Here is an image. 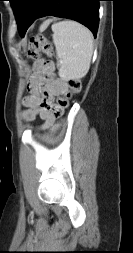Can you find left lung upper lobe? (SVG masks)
<instances>
[{"label": "left lung upper lobe", "instance_id": "obj_1", "mask_svg": "<svg viewBox=\"0 0 133 253\" xmlns=\"http://www.w3.org/2000/svg\"><path fill=\"white\" fill-rule=\"evenodd\" d=\"M11 3V6L13 8L16 20L19 16V13L21 11V8L26 0H8Z\"/></svg>", "mask_w": 133, "mask_h": 253}]
</instances>
